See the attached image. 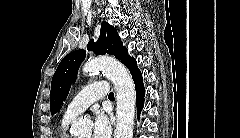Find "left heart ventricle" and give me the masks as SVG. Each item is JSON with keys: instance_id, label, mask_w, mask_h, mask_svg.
I'll return each mask as SVG.
<instances>
[{"instance_id": "left-heart-ventricle-1", "label": "left heart ventricle", "mask_w": 240, "mask_h": 138, "mask_svg": "<svg viewBox=\"0 0 240 138\" xmlns=\"http://www.w3.org/2000/svg\"><path fill=\"white\" fill-rule=\"evenodd\" d=\"M84 138H90L89 134H87V136H86V137H84Z\"/></svg>"}]
</instances>
